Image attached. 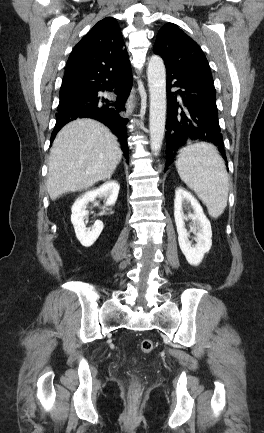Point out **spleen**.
I'll use <instances>...</instances> for the list:
<instances>
[{"mask_svg": "<svg viewBox=\"0 0 264 433\" xmlns=\"http://www.w3.org/2000/svg\"><path fill=\"white\" fill-rule=\"evenodd\" d=\"M176 168L181 180L206 205L209 215L218 218L227 206L229 179L215 146L198 142L182 148Z\"/></svg>", "mask_w": 264, "mask_h": 433, "instance_id": "spleen-1", "label": "spleen"}]
</instances>
